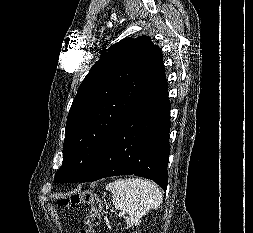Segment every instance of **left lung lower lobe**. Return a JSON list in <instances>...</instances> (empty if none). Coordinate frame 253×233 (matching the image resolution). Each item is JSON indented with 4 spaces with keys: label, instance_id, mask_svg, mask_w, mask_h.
Returning <instances> with one entry per match:
<instances>
[{
    "label": "left lung lower lobe",
    "instance_id": "0a47b994",
    "mask_svg": "<svg viewBox=\"0 0 253 233\" xmlns=\"http://www.w3.org/2000/svg\"><path fill=\"white\" fill-rule=\"evenodd\" d=\"M167 88L164 73L118 123L81 182L135 174L153 180L166 191L171 126Z\"/></svg>",
    "mask_w": 253,
    "mask_h": 233
}]
</instances>
